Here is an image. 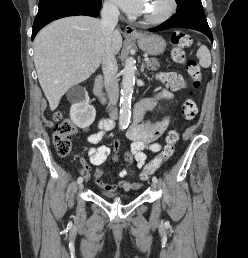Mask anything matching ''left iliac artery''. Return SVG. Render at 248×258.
I'll list each match as a JSON object with an SVG mask.
<instances>
[{
  "label": "left iliac artery",
  "mask_w": 248,
  "mask_h": 258,
  "mask_svg": "<svg viewBox=\"0 0 248 258\" xmlns=\"http://www.w3.org/2000/svg\"><path fill=\"white\" fill-rule=\"evenodd\" d=\"M152 181L155 182V183H157V182H158L157 177H156V176H153Z\"/></svg>",
  "instance_id": "obj_1"
}]
</instances>
